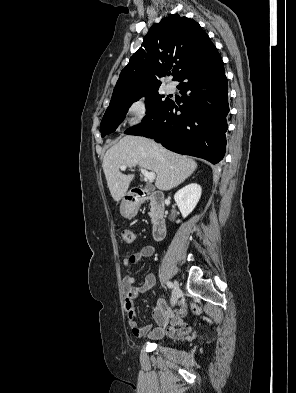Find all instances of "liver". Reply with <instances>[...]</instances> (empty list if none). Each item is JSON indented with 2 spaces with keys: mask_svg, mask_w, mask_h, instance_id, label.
Returning <instances> with one entry per match:
<instances>
[{
  "mask_svg": "<svg viewBox=\"0 0 296 393\" xmlns=\"http://www.w3.org/2000/svg\"><path fill=\"white\" fill-rule=\"evenodd\" d=\"M136 165L156 175L155 186L171 190L184 182L197 168V163L186 156L171 152L144 137L125 136L107 150L102 167L112 198L119 202L126 194L133 174L124 175L119 169Z\"/></svg>",
  "mask_w": 296,
  "mask_h": 393,
  "instance_id": "liver-1",
  "label": "liver"
}]
</instances>
